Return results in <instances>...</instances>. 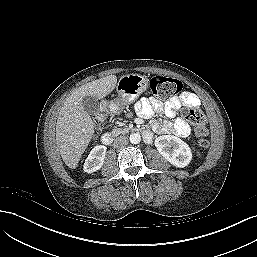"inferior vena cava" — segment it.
<instances>
[{
  "label": "inferior vena cava",
  "mask_w": 257,
  "mask_h": 257,
  "mask_svg": "<svg viewBox=\"0 0 257 257\" xmlns=\"http://www.w3.org/2000/svg\"><path fill=\"white\" fill-rule=\"evenodd\" d=\"M128 138L126 136H120V137H117L115 140H114V147L116 148H122L124 146H126L128 144Z\"/></svg>",
  "instance_id": "obj_1"
}]
</instances>
